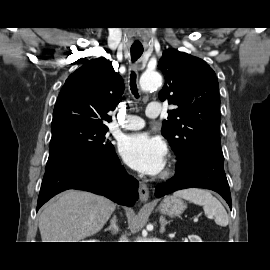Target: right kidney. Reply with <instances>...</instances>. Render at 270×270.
<instances>
[{
  "mask_svg": "<svg viewBox=\"0 0 270 270\" xmlns=\"http://www.w3.org/2000/svg\"><path fill=\"white\" fill-rule=\"evenodd\" d=\"M85 242H97V240H87Z\"/></svg>",
  "mask_w": 270,
  "mask_h": 270,
  "instance_id": "ca27d5eb",
  "label": "right kidney"
}]
</instances>
